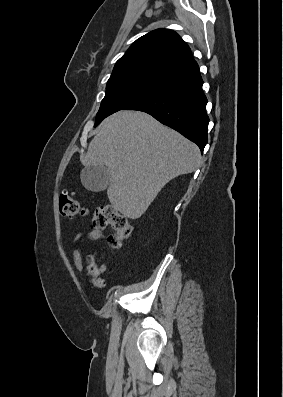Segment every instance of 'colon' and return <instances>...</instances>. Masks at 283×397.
Segmentation results:
<instances>
[{
	"mask_svg": "<svg viewBox=\"0 0 283 397\" xmlns=\"http://www.w3.org/2000/svg\"><path fill=\"white\" fill-rule=\"evenodd\" d=\"M59 211L64 216H75L77 214L87 215L89 211L79 204L73 194L62 191L59 194ZM92 223L95 227L104 228L111 226L113 234L108 237V243L112 248H119L128 240L132 234V226L128 219L120 214L112 205H102L92 212ZM87 272L91 275L93 288L102 286V281L97 277V266L93 258H89Z\"/></svg>",
	"mask_w": 283,
	"mask_h": 397,
	"instance_id": "obj_1",
	"label": "colon"
}]
</instances>
